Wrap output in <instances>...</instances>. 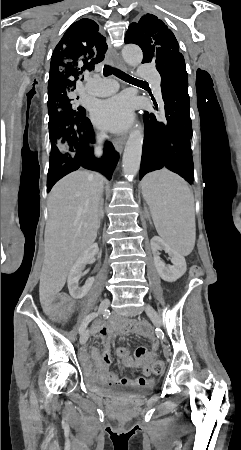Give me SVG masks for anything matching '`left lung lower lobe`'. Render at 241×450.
Here are the masks:
<instances>
[{
	"label": "left lung lower lobe",
	"instance_id": "left-lung-lower-lobe-1",
	"mask_svg": "<svg viewBox=\"0 0 241 450\" xmlns=\"http://www.w3.org/2000/svg\"><path fill=\"white\" fill-rule=\"evenodd\" d=\"M161 78L166 122H159L153 113L144 112L145 137L140 179L148 172L167 168L179 174L189 184H193L190 147L192 125L186 67L184 66L180 73H164Z\"/></svg>",
	"mask_w": 241,
	"mask_h": 450
}]
</instances>
